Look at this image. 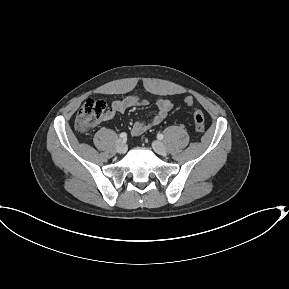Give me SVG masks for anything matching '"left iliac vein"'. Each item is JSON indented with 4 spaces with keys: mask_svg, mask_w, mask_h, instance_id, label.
<instances>
[{
    "mask_svg": "<svg viewBox=\"0 0 289 289\" xmlns=\"http://www.w3.org/2000/svg\"><path fill=\"white\" fill-rule=\"evenodd\" d=\"M152 147H153L154 151H155L156 153H158V154L163 155V154L166 153V147H165V145H164L162 142H160V141H154V142L152 143Z\"/></svg>",
    "mask_w": 289,
    "mask_h": 289,
    "instance_id": "obj_1",
    "label": "left iliac vein"
}]
</instances>
